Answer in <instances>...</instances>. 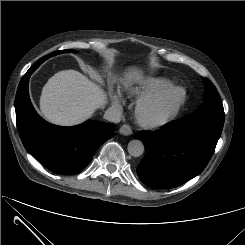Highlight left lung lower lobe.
I'll list each match as a JSON object with an SVG mask.
<instances>
[{"instance_id": "left-lung-lower-lobe-1", "label": "left lung lower lobe", "mask_w": 245, "mask_h": 245, "mask_svg": "<svg viewBox=\"0 0 245 245\" xmlns=\"http://www.w3.org/2000/svg\"><path fill=\"white\" fill-rule=\"evenodd\" d=\"M224 123L184 117L156 131H141L146 153L139 179L155 188L177 187L200 174L212 157Z\"/></svg>"}]
</instances>
